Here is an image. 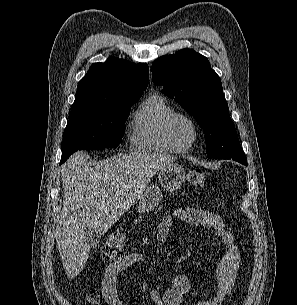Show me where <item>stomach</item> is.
Listing matches in <instances>:
<instances>
[{
    "instance_id": "obj_1",
    "label": "stomach",
    "mask_w": 297,
    "mask_h": 305,
    "mask_svg": "<svg viewBox=\"0 0 297 305\" xmlns=\"http://www.w3.org/2000/svg\"><path fill=\"white\" fill-rule=\"evenodd\" d=\"M158 179L161 186L167 191H175L181 188L185 180V170L179 164L171 163L159 170ZM162 192L156 185L148 186L139 201L138 210L140 213L150 212L162 200Z\"/></svg>"
}]
</instances>
